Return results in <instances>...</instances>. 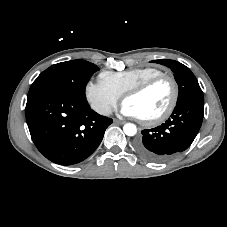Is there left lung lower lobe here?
<instances>
[{
	"label": "left lung lower lobe",
	"mask_w": 227,
	"mask_h": 227,
	"mask_svg": "<svg viewBox=\"0 0 227 227\" xmlns=\"http://www.w3.org/2000/svg\"><path fill=\"white\" fill-rule=\"evenodd\" d=\"M204 99L189 98L178 104L162 125L142 130L135 150L147 160L161 162L186 150L195 139L203 120Z\"/></svg>",
	"instance_id": "obj_1"
}]
</instances>
